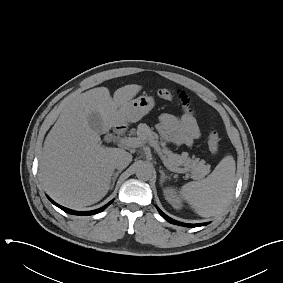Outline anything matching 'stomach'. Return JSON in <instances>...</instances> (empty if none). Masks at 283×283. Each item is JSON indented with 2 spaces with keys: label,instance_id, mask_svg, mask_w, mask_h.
Segmentation results:
<instances>
[{
  "label": "stomach",
  "instance_id": "0dacf381",
  "mask_svg": "<svg viewBox=\"0 0 283 283\" xmlns=\"http://www.w3.org/2000/svg\"><path fill=\"white\" fill-rule=\"evenodd\" d=\"M155 105L154 98L148 95L139 96L130 100L122 108L123 122H137L148 114Z\"/></svg>",
  "mask_w": 283,
  "mask_h": 283
}]
</instances>
